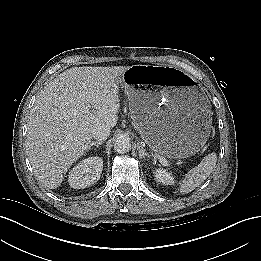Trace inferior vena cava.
<instances>
[{
	"mask_svg": "<svg viewBox=\"0 0 261 261\" xmlns=\"http://www.w3.org/2000/svg\"><path fill=\"white\" fill-rule=\"evenodd\" d=\"M92 134L93 138L98 141L106 140L110 135V127L105 125L97 126L93 129Z\"/></svg>",
	"mask_w": 261,
	"mask_h": 261,
	"instance_id": "602c4592",
	"label": "inferior vena cava"
}]
</instances>
